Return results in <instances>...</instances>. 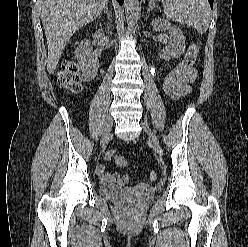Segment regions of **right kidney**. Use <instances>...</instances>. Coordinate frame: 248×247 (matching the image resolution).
Listing matches in <instances>:
<instances>
[{"label": "right kidney", "mask_w": 248, "mask_h": 247, "mask_svg": "<svg viewBox=\"0 0 248 247\" xmlns=\"http://www.w3.org/2000/svg\"><path fill=\"white\" fill-rule=\"evenodd\" d=\"M102 36L100 30L93 35L95 39ZM76 58L79 60V67L82 71L81 80L84 82L92 81L99 68V60L93 53V48L89 40L81 42L75 50Z\"/></svg>", "instance_id": "right-kidney-1"}]
</instances>
